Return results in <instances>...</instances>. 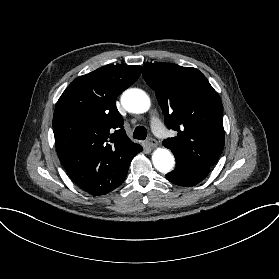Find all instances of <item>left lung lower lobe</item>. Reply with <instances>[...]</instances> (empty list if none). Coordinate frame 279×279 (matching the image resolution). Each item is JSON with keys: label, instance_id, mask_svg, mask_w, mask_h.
I'll return each instance as SVG.
<instances>
[{"label": "left lung lower lobe", "instance_id": "obj_1", "mask_svg": "<svg viewBox=\"0 0 279 279\" xmlns=\"http://www.w3.org/2000/svg\"><path fill=\"white\" fill-rule=\"evenodd\" d=\"M177 166L174 171L166 175V178L180 186H193L201 182L210 172L211 168L199 167L197 165L176 161Z\"/></svg>", "mask_w": 279, "mask_h": 279}]
</instances>
